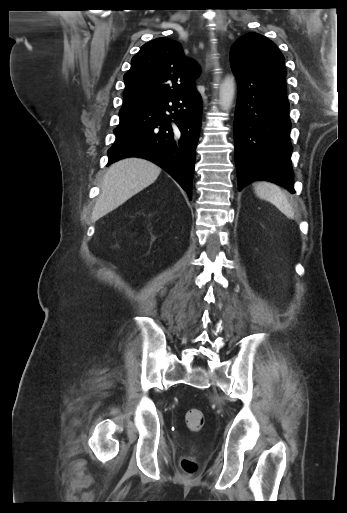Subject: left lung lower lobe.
<instances>
[{
    "label": "left lung lower lobe",
    "mask_w": 347,
    "mask_h": 513,
    "mask_svg": "<svg viewBox=\"0 0 347 513\" xmlns=\"http://www.w3.org/2000/svg\"><path fill=\"white\" fill-rule=\"evenodd\" d=\"M231 69L239 86L234 120L238 189L268 180L295 193L285 76Z\"/></svg>",
    "instance_id": "left-lung-lower-lobe-1"
}]
</instances>
